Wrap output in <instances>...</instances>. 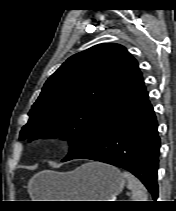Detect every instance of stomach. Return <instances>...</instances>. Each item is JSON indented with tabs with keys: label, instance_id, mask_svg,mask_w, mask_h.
Here are the masks:
<instances>
[{
	"label": "stomach",
	"instance_id": "stomach-1",
	"mask_svg": "<svg viewBox=\"0 0 176 211\" xmlns=\"http://www.w3.org/2000/svg\"><path fill=\"white\" fill-rule=\"evenodd\" d=\"M125 179L114 166L89 162L71 172L42 171L30 182L37 201H109L121 193Z\"/></svg>",
	"mask_w": 176,
	"mask_h": 211
}]
</instances>
